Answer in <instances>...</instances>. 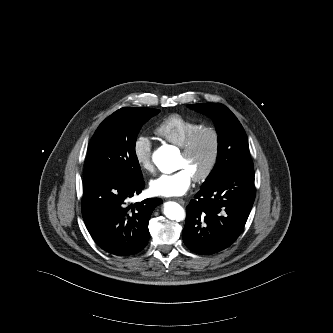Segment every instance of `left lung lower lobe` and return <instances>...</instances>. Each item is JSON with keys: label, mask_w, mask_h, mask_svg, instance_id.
Listing matches in <instances>:
<instances>
[{"label": "left lung lower lobe", "mask_w": 333, "mask_h": 333, "mask_svg": "<svg viewBox=\"0 0 333 333\" xmlns=\"http://www.w3.org/2000/svg\"><path fill=\"white\" fill-rule=\"evenodd\" d=\"M186 208L185 245L198 254H214L240 235L255 199L253 167L227 172L201 187Z\"/></svg>", "instance_id": "obj_1"}]
</instances>
